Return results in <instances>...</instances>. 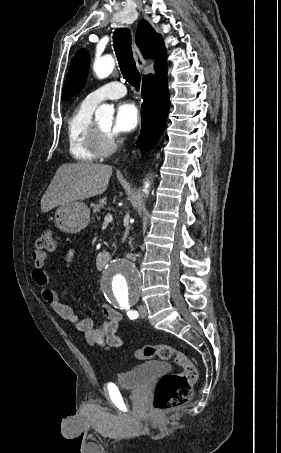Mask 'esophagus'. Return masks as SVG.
Returning a JSON list of instances; mask_svg holds the SVG:
<instances>
[{
    "label": "esophagus",
    "mask_w": 281,
    "mask_h": 453,
    "mask_svg": "<svg viewBox=\"0 0 281 453\" xmlns=\"http://www.w3.org/2000/svg\"><path fill=\"white\" fill-rule=\"evenodd\" d=\"M132 50H133V56H134L137 68L139 70H142V68L145 65V60L143 59V57H142L139 49L137 48V45H135V43H133V45H132ZM135 153H136V151L133 152V154H135Z\"/></svg>",
    "instance_id": "esophagus-1"
}]
</instances>
